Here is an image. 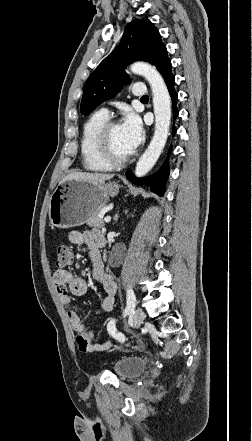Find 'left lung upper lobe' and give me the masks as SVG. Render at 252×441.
Returning a JSON list of instances; mask_svg holds the SVG:
<instances>
[{
  "label": "left lung upper lobe",
  "instance_id": "obj_1",
  "mask_svg": "<svg viewBox=\"0 0 252 441\" xmlns=\"http://www.w3.org/2000/svg\"><path fill=\"white\" fill-rule=\"evenodd\" d=\"M166 50L161 36L147 18L131 21L125 28L120 44L88 77L80 105L81 114L87 116L103 101L113 98L128 77L125 67L134 61H146L157 66Z\"/></svg>",
  "mask_w": 252,
  "mask_h": 441
}]
</instances>
